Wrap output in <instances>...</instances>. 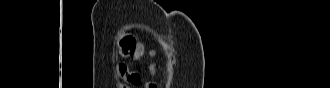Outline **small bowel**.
<instances>
[{
  "label": "small bowel",
  "instance_id": "1",
  "mask_svg": "<svg viewBox=\"0 0 330 88\" xmlns=\"http://www.w3.org/2000/svg\"><path fill=\"white\" fill-rule=\"evenodd\" d=\"M144 53L142 45L135 41V50L132 53L133 59L138 60ZM116 73L124 80L128 86H137L141 83V75L138 71L129 69L126 64H118Z\"/></svg>",
  "mask_w": 330,
  "mask_h": 88
}]
</instances>
